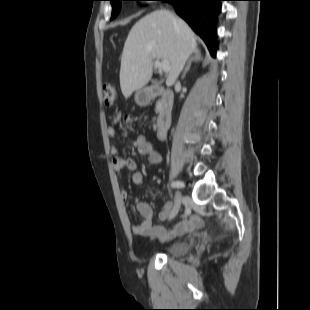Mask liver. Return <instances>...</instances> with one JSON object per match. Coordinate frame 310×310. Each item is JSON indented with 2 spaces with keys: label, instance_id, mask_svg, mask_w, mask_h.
<instances>
[{
  "label": "liver",
  "instance_id": "obj_1",
  "mask_svg": "<svg viewBox=\"0 0 310 310\" xmlns=\"http://www.w3.org/2000/svg\"><path fill=\"white\" fill-rule=\"evenodd\" d=\"M198 51L194 32L185 21L166 10L141 18L125 41L120 67V87L127 99L152 77L153 60L170 64L166 86L174 85L187 59Z\"/></svg>",
  "mask_w": 310,
  "mask_h": 310
}]
</instances>
